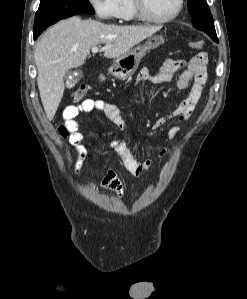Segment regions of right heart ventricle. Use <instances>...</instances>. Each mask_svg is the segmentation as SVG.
Returning a JSON list of instances; mask_svg holds the SVG:
<instances>
[{
  "mask_svg": "<svg viewBox=\"0 0 247 299\" xmlns=\"http://www.w3.org/2000/svg\"><path fill=\"white\" fill-rule=\"evenodd\" d=\"M119 20L128 22L137 19L134 9L133 0H118L117 1V17Z\"/></svg>",
  "mask_w": 247,
  "mask_h": 299,
  "instance_id": "right-heart-ventricle-1",
  "label": "right heart ventricle"
}]
</instances>
